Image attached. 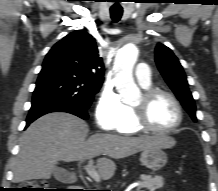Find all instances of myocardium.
Returning <instances> with one entry per match:
<instances>
[{
  "label": "myocardium",
  "mask_w": 218,
  "mask_h": 191,
  "mask_svg": "<svg viewBox=\"0 0 218 191\" xmlns=\"http://www.w3.org/2000/svg\"><path fill=\"white\" fill-rule=\"evenodd\" d=\"M159 96L167 97L174 104L177 110L178 113L177 122L170 128H166V129L156 128L152 125L149 119L148 116L149 106L152 103V101ZM142 97H143L142 103L138 106L135 105L133 106L134 120L140 130L148 131L156 134H170L180 128L184 119L183 108L180 102L173 94L162 89L150 88L144 91Z\"/></svg>",
  "instance_id": "obj_1"
}]
</instances>
